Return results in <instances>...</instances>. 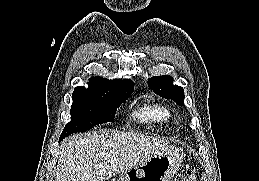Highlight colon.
Listing matches in <instances>:
<instances>
[{"label": "colon", "instance_id": "colon-1", "mask_svg": "<svg viewBox=\"0 0 259 181\" xmlns=\"http://www.w3.org/2000/svg\"><path fill=\"white\" fill-rule=\"evenodd\" d=\"M196 177L195 169H189L186 172L178 175L175 181H194Z\"/></svg>", "mask_w": 259, "mask_h": 181}]
</instances>
